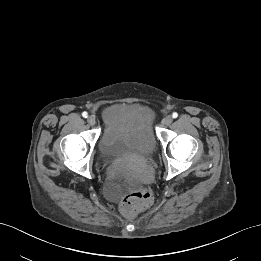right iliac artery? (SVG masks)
I'll return each instance as SVG.
<instances>
[{"instance_id":"1","label":"right iliac artery","mask_w":261,"mask_h":261,"mask_svg":"<svg viewBox=\"0 0 261 261\" xmlns=\"http://www.w3.org/2000/svg\"><path fill=\"white\" fill-rule=\"evenodd\" d=\"M82 116H83L84 118H87V117H88V113H87V112H83V113H82Z\"/></svg>"}]
</instances>
